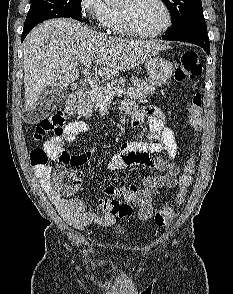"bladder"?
<instances>
[{
    "mask_svg": "<svg viewBox=\"0 0 233 294\" xmlns=\"http://www.w3.org/2000/svg\"><path fill=\"white\" fill-rule=\"evenodd\" d=\"M114 232H115L116 234H123V233L125 232V229H124L123 227H121V226H117V227L115 228Z\"/></svg>",
    "mask_w": 233,
    "mask_h": 294,
    "instance_id": "obj_1",
    "label": "bladder"
}]
</instances>
